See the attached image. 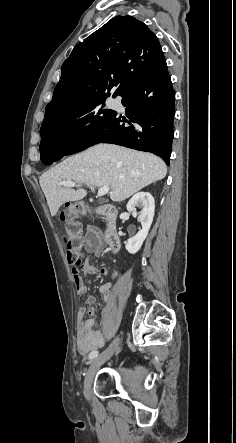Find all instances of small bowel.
Listing matches in <instances>:
<instances>
[{
  "mask_svg": "<svg viewBox=\"0 0 236 443\" xmlns=\"http://www.w3.org/2000/svg\"><path fill=\"white\" fill-rule=\"evenodd\" d=\"M85 249L90 256L100 257L104 253L105 249V239L103 235L94 227H88L84 236ZM72 275L75 282L76 291L78 294H85L87 292V285L84 282L82 273L95 275L98 272L101 275H106L109 272V266L102 267L99 271L94 267L89 260H86L80 269L72 268ZM117 272H113L112 277H117ZM112 283L108 282L103 284L99 291L104 295L105 299L111 296ZM86 303L88 305H93L97 302L95 296H87ZM95 308L92 306L81 307L79 310V324L77 329L76 337V348L81 354H86L92 352L93 350L101 347L103 345V333L97 328V322L95 319L82 320L84 315H95Z\"/></svg>",
  "mask_w": 236,
  "mask_h": 443,
  "instance_id": "obj_1",
  "label": "small bowel"
}]
</instances>
